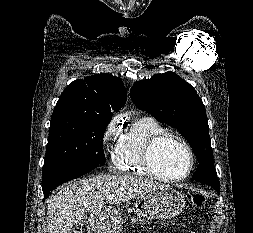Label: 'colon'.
Wrapping results in <instances>:
<instances>
[{
  "label": "colon",
  "instance_id": "colon-1",
  "mask_svg": "<svg viewBox=\"0 0 253 233\" xmlns=\"http://www.w3.org/2000/svg\"><path fill=\"white\" fill-rule=\"evenodd\" d=\"M190 202L192 203L193 206L195 207H200L205 203V196L203 194L199 193H192L188 196ZM71 233H82L80 228H75L72 230Z\"/></svg>",
  "mask_w": 253,
  "mask_h": 233
}]
</instances>
